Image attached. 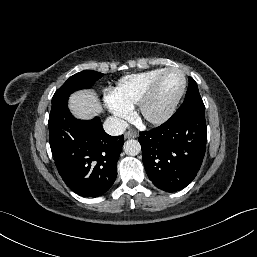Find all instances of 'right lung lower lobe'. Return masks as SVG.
Returning a JSON list of instances; mask_svg holds the SVG:
<instances>
[{
	"label": "right lung lower lobe",
	"mask_w": 257,
	"mask_h": 257,
	"mask_svg": "<svg viewBox=\"0 0 257 257\" xmlns=\"http://www.w3.org/2000/svg\"><path fill=\"white\" fill-rule=\"evenodd\" d=\"M50 147L66 185L83 197L103 195L117 176L122 136L108 135L99 117L76 119L68 107L49 118Z\"/></svg>",
	"instance_id": "1"
}]
</instances>
